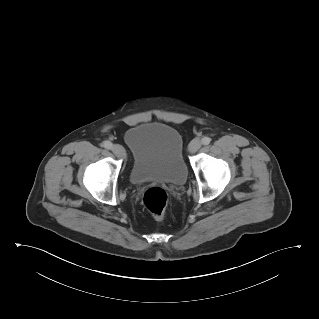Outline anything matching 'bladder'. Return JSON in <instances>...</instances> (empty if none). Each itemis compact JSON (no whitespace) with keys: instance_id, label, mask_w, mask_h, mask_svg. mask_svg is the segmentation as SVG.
<instances>
[{"instance_id":"31cf9c89","label":"bladder","mask_w":319,"mask_h":319,"mask_svg":"<svg viewBox=\"0 0 319 319\" xmlns=\"http://www.w3.org/2000/svg\"><path fill=\"white\" fill-rule=\"evenodd\" d=\"M124 141L132 154V184L160 181L182 186L186 182L183 139L175 128L161 123L139 124L127 130Z\"/></svg>"}]
</instances>
